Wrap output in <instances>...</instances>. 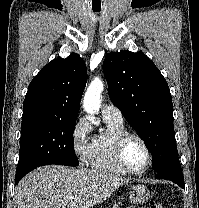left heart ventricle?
<instances>
[{"mask_svg":"<svg viewBox=\"0 0 199 208\" xmlns=\"http://www.w3.org/2000/svg\"><path fill=\"white\" fill-rule=\"evenodd\" d=\"M124 159L132 169H140L147 161V153L141 142L131 138L124 147Z\"/></svg>","mask_w":199,"mask_h":208,"instance_id":"1","label":"left heart ventricle"}]
</instances>
